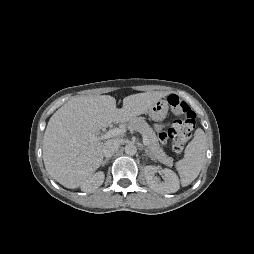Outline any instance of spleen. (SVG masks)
I'll use <instances>...</instances> for the list:
<instances>
[{"label": "spleen", "mask_w": 254, "mask_h": 254, "mask_svg": "<svg viewBox=\"0 0 254 254\" xmlns=\"http://www.w3.org/2000/svg\"><path fill=\"white\" fill-rule=\"evenodd\" d=\"M207 137L201 128L196 129L194 138L185 149L184 158L176 163L182 186L189 185L199 175L206 155Z\"/></svg>", "instance_id": "obj_1"}]
</instances>
